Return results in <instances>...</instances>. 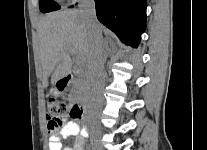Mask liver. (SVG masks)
I'll return each instance as SVG.
<instances>
[{
    "label": "liver",
    "instance_id": "liver-1",
    "mask_svg": "<svg viewBox=\"0 0 207 150\" xmlns=\"http://www.w3.org/2000/svg\"><path fill=\"white\" fill-rule=\"evenodd\" d=\"M99 30L102 33L100 24ZM38 35L45 87L51 74L52 83L70 74L72 54H76L77 59L87 65L92 32L80 10L46 14L40 20Z\"/></svg>",
    "mask_w": 207,
    "mask_h": 150
}]
</instances>
